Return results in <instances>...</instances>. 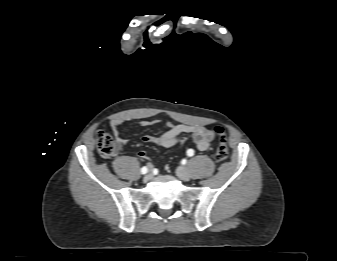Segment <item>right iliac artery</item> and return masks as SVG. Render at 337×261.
Wrapping results in <instances>:
<instances>
[{"label": "right iliac artery", "mask_w": 337, "mask_h": 261, "mask_svg": "<svg viewBox=\"0 0 337 261\" xmlns=\"http://www.w3.org/2000/svg\"><path fill=\"white\" fill-rule=\"evenodd\" d=\"M147 172H148V168L147 167L144 166V167L141 168V173L142 174H146Z\"/></svg>", "instance_id": "obj_1"}]
</instances>
